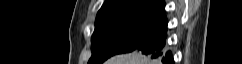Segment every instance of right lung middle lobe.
<instances>
[{"label":"right lung middle lobe","mask_w":242,"mask_h":64,"mask_svg":"<svg viewBox=\"0 0 242 64\" xmlns=\"http://www.w3.org/2000/svg\"><path fill=\"white\" fill-rule=\"evenodd\" d=\"M165 20V14L155 12L116 13L96 20L88 64H102L113 55L137 49Z\"/></svg>","instance_id":"1"}]
</instances>
